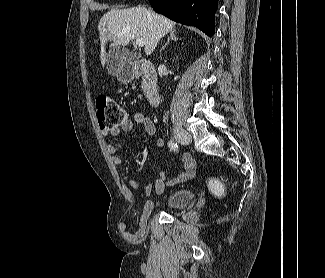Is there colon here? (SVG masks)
I'll return each instance as SVG.
<instances>
[{"label": "colon", "instance_id": "colon-1", "mask_svg": "<svg viewBox=\"0 0 325 278\" xmlns=\"http://www.w3.org/2000/svg\"><path fill=\"white\" fill-rule=\"evenodd\" d=\"M96 114L99 127L102 130L118 128L127 120L125 109L108 96L97 97ZM209 187L213 193L220 195L223 192L224 184L218 178H211Z\"/></svg>", "mask_w": 325, "mask_h": 278}]
</instances>
